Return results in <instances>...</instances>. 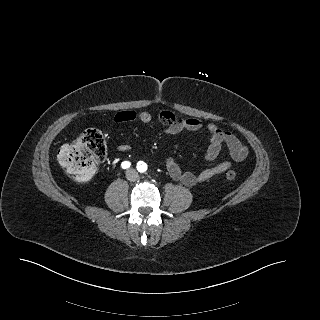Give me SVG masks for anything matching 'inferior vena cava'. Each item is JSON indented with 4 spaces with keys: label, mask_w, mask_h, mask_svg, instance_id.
<instances>
[{
    "label": "inferior vena cava",
    "mask_w": 320,
    "mask_h": 320,
    "mask_svg": "<svg viewBox=\"0 0 320 320\" xmlns=\"http://www.w3.org/2000/svg\"><path fill=\"white\" fill-rule=\"evenodd\" d=\"M126 177L130 181H135L139 178L138 172L134 169H130L126 172Z\"/></svg>",
    "instance_id": "inferior-vena-cava-1"
}]
</instances>
